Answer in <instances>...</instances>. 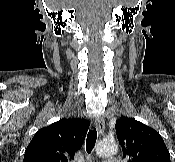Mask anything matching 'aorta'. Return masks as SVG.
<instances>
[{
  "instance_id": "aorta-1",
  "label": "aorta",
  "mask_w": 175,
  "mask_h": 162,
  "mask_svg": "<svg viewBox=\"0 0 175 162\" xmlns=\"http://www.w3.org/2000/svg\"><path fill=\"white\" fill-rule=\"evenodd\" d=\"M118 146L114 140H102L97 144L96 153L99 156H110L116 154Z\"/></svg>"
}]
</instances>
